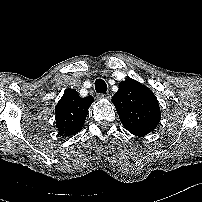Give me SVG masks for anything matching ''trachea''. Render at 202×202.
<instances>
[{
    "label": "trachea",
    "instance_id": "trachea-1",
    "mask_svg": "<svg viewBox=\"0 0 202 202\" xmlns=\"http://www.w3.org/2000/svg\"><path fill=\"white\" fill-rule=\"evenodd\" d=\"M95 90L97 93L106 94L107 92V85L103 79H96L95 81Z\"/></svg>",
    "mask_w": 202,
    "mask_h": 202
}]
</instances>
